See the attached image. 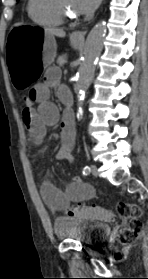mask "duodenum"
Masks as SVG:
<instances>
[{
	"label": "duodenum",
	"instance_id": "1",
	"mask_svg": "<svg viewBox=\"0 0 148 279\" xmlns=\"http://www.w3.org/2000/svg\"><path fill=\"white\" fill-rule=\"evenodd\" d=\"M63 102H64V104H71V100L70 99L64 100Z\"/></svg>",
	"mask_w": 148,
	"mask_h": 279
}]
</instances>
